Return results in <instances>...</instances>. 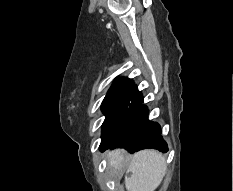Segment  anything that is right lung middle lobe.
Returning a JSON list of instances; mask_svg holds the SVG:
<instances>
[{"mask_svg":"<svg viewBox=\"0 0 233 191\" xmlns=\"http://www.w3.org/2000/svg\"><path fill=\"white\" fill-rule=\"evenodd\" d=\"M127 97H120L103 101L101 107L105 114V120L102 125V136L116 123L124 110L127 108Z\"/></svg>","mask_w":233,"mask_h":191,"instance_id":"obj_1","label":"right lung middle lobe"}]
</instances>
